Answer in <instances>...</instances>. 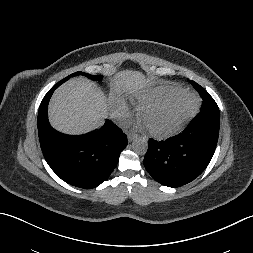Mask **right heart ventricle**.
<instances>
[{"label": "right heart ventricle", "instance_id": "e07e8e85", "mask_svg": "<svg viewBox=\"0 0 253 253\" xmlns=\"http://www.w3.org/2000/svg\"><path fill=\"white\" fill-rule=\"evenodd\" d=\"M176 85H161L145 91L138 92L133 95V101L140 107L164 99L172 93L179 90Z\"/></svg>", "mask_w": 253, "mask_h": 253}]
</instances>
